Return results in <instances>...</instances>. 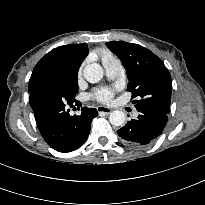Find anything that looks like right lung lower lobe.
<instances>
[{
	"mask_svg": "<svg viewBox=\"0 0 205 205\" xmlns=\"http://www.w3.org/2000/svg\"><path fill=\"white\" fill-rule=\"evenodd\" d=\"M75 92L62 78L52 79L30 92L29 102L38 129L45 141L56 151L70 152L84 144L90 124L98 112L82 108L81 115L70 116L68 106L81 105Z\"/></svg>",
	"mask_w": 205,
	"mask_h": 205,
	"instance_id": "1",
	"label": "right lung lower lobe"
}]
</instances>
